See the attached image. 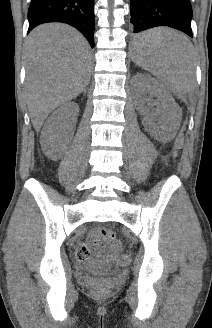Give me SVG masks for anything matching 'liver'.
Returning <instances> with one entry per match:
<instances>
[{
    "label": "liver",
    "mask_w": 212,
    "mask_h": 328,
    "mask_svg": "<svg viewBox=\"0 0 212 328\" xmlns=\"http://www.w3.org/2000/svg\"><path fill=\"white\" fill-rule=\"evenodd\" d=\"M25 59L27 105L39 132L51 111L76 98L88 85L91 50L73 27L49 23L29 34Z\"/></svg>",
    "instance_id": "6515ba94"
}]
</instances>
